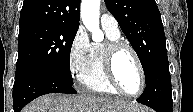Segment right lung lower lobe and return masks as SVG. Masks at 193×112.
I'll return each mask as SVG.
<instances>
[{"instance_id":"1","label":"right lung lower lobe","mask_w":193,"mask_h":112,"mask_svg":"<svg viewBox=\"0 0 193 112\" xmlns=\"http://www.w3.org/2000/svg\"><path fill=\"white\" fill-rule=\"evenodd\" d=\"M48 93L76 94L73 85L52 75L35 72L15 80L13 86L14 112L21 109L33 99Z\"/></svg>"}]
</instances>
